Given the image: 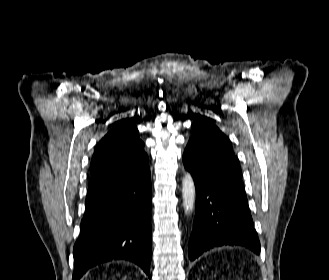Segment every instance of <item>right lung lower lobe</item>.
Returning <instances> with one entry per match:
<instances>
[{"instance_id":"1","label":"right lung lower lobe","mask_w":329,"mask_h":280,"mask_svg":"<svg viewBox=\"0 0 329 280\" xmlns=\"http://www.w3.org/2000/svg\"><path fill=\"white\" fill-rule=\"evenodd\" d=\"M72 280L116 259L139 265L150 278L151 177L141 170L108 173L89 184L81 233L74 245Z\"/></svg>"}]
</instances>
